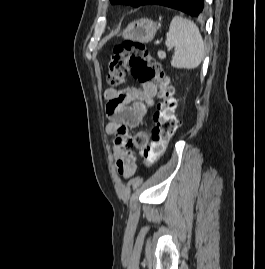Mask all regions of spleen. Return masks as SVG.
Wrapping results in <instances>:
<instances>
[{
  "label": "spleen",
  "instance_id": "obj_1",
  "mask_svg": "<svg viewBox=\"0 0 265 269\" xmlns=\"http://www.w3.org/2000/svg\"><path fill=\"white\" fill-rule=\"evenodd\" d=\"M165 45L168 50L175 48L171 66L177 69H194L204 58L205 45L196 24L181 16H174Z\"/></svg>",
  "mask_w": 265,
  "mask_h": 269
}]
</instances>
